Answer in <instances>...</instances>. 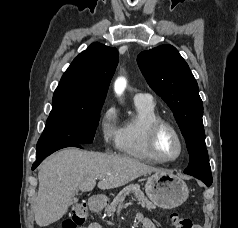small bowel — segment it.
<instances>
[{
    "label": "small bowel",
    "mask_w": 238,
    "mask_h": 228,
    "mask_svg": "<svg viewBox=\"0 0 238 228\" xmlns=\"http://www.w3.org/2000/svg\"><path fill=\"white\" fill-rule=\"evenodd\" d=\"M137 219L143 225L144 228H157L153 221L142 213L137 214ZM84 228H101V226L96 222H92Z\"/></svg>",
    "instance_id": "c3829d8e"
}]
</instances>
